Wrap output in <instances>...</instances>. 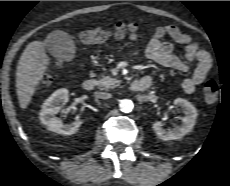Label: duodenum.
I'll return each mask as SVG.
<instances>
[{"label": "duodenum", "instance_id": "obj_1", "mask_svg": "<svg viewBox=\"0 0 230 186\" xmlns=\"http://www.w3.org/2000/svg\"><path fill=\"white\" fill-rule=\"evenodd\" d=\"M152 85L150 77H143L131 83L130 88L133 91L141 92L147 90ZM82 87L85 91H92L95 88V81L93 79L84 80Z\"/></svg>", "mask_w": 230, "mask_h": 186}]
</instances>
